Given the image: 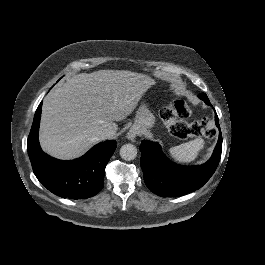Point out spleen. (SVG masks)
Wrapping results in <instances>:
<instances>
[{
	"label": "spleen",
	"instance_id": "3e777b00",
	"mask_svg": "<svg viewBox=\"0 0 265 265\" xmlns=\"http://www.w3.org/2000/svg\"><path fill=\"white\" fill-rule=\"evenodd\" d=\"M205 146L206 141L203 138H196L182 145L169 148L168 154L176 163L186 165L194 163Z\"/></svg>",
	"mask_w": 265,
	"mask_h": 265
}]
</instances>
